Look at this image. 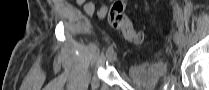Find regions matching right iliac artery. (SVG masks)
Wrapping results in <instances>:
<instances>
[{"mask_svg":"<svg viewBox=\"0 0 209 90\" xmlns=\"http://www.w3.org/2000/svg\"><path fill=\"white\" fill-rule=\"evenodd\" d=\"M112 51H113V47L109 46L107 51H106V55L108 56Z\"/></svg>","mask_w":209,"mask_h":90,"instance_id":"right-iliac-artery-1","label":"right iliac artery"}]
</instances>
